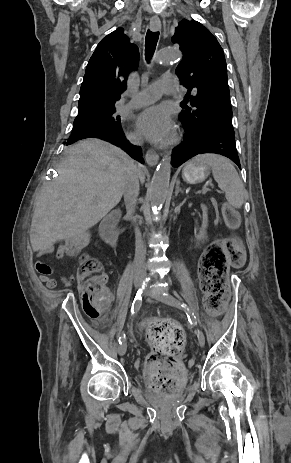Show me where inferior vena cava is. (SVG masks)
Returning <instances> with one entry per match:
<instances>
[{"label": "inferior vena cava", "instance_id": "inferior-vena-cava-1", "mask_svg": "<svg viewBox=\"0 0 291 463\" xmlns=\"http://www.w3.org/2000/svg\"><path fill=\"white\" fill-rule=\"evenodd\" d=\"M128 139L136 144L142 145V139L137 135H128ZM124 201L126 205L127 214L131 217V219L136 222V218L134 217L135 207L137 204V198L139 195V175H138V167L133 162L131 166V172L129 178L127 179L125 188H124ZM135 245H136V256L139 259H143L146 255V248L142 241L141 232L138 227L135 228ZM139 276L144 277L145 272L144 270H139Z\"/></svg>", "mask_w": 291, "mask_h": 463}]
</instances>
